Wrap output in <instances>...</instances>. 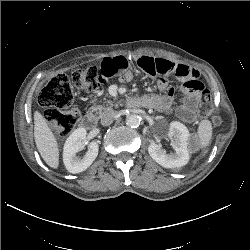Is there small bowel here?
I'll list each match as a JSON object with an SVG mask.
<instances>
[{
	"instance_id": "obj_1",
	"label": "small bowel",
	"mask_w": 250,
	"mask_h": 250,
	"mask_svg": "<svg viewBox=\"0 0 250 250\" xmlns=\"http://www.w3.org/2000/svg\"><path fill=\"white\" fill-rule=\"evenodd\" d=\"M138 66L149 75L158 79L161 94L143 96L135 101L138 105L153 107L161 111L170 112L174 104V89L169 84L168 78L174 77L181 82V89L185 94L183 103L177 108L178 117L192 123L196 117V108L199 103V93L204 88L199 80V73L184 64L175 63L162 58L141 56L136 60ZM130 61L126 56L105 58L100 66L105 79L113 76L119 77L121 82H129L132 73L129 69Z\"/></svg>"
}]
</instances>
